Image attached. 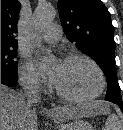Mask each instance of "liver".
<instances>
[{
	"label": "liver",
	"mask_w": 123,
	"mask_h": 130,
	"mask_svg": "<svg viewBox=\"0 0 123 130\" xmlns=\"http://www.w3.org/2000/svg\"><path fill=\"white\" fill-rule=\"evenodd\" d=\"M99 103L80 106L55 107L46 113L57 122L75 120L81 117L92 116L97 113ZM1 130H38L37 113L27 102L22 93L12 90L1 84Z\"/></svg>",
	"instance_id": "obj_1"
}]
</instances>
